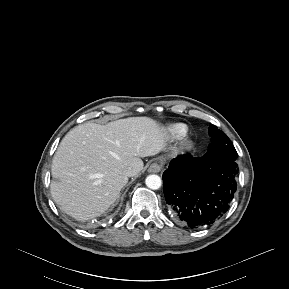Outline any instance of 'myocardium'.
Wrapping results in <instances>:
<instances>
[{
    "label": "myocardium",
    "instance_id": "f54148a6",
    "mask_svg": "<svg viewBox=\"0 0 289 289\" xmlns=\"http://www.w3.org/2000/svg\"><path fill=\"white\" fill-rule=\"evenodd\" d=\"M180 145L183 149L188 150L192 147V141L190 138L184 136L181 140Z\"/></svg>",
    "mask_w": 289,
    "mask_h": 289
}]
</instances>
